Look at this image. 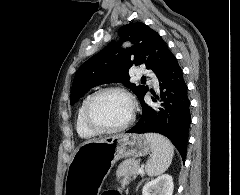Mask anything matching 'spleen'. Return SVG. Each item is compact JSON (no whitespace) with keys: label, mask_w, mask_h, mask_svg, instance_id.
Listing matches in <instances>:
<instances>
[{"label":"spleen","mask_w":240,"mask_h":195,"mask_svg":"<svg viewBox=\"0 0 240 195\" xmlns=\"http://www.w3.org/2000/svg\"><path fill=\"white\" fill-rule=\"evenodd\" d=\"M150 141L152 155L146 161L145 171L150 177L161 175L168 169L174 155V145L161 133H144Z\"/></svg>","instance_id":"spleen-1"}]
</instances>
